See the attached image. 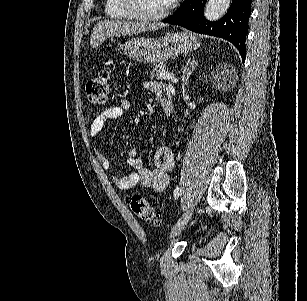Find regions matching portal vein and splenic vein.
Listing matches in <instances>:
<instances>
[{"label":"portal vein and splenic vein","instance_id":"portal-vein-and-splenic-vein-1","mask_svg":"<svg viewBox=\"0 0 307 301\" xmlns=\"http://www.w3.org/2000/svg\"><path fill=\"white\" fill-rule=\"evenodd\" d=\"M164 78H168V80H172V82H178L177 78H175L174 74H170V72H163Z\"/></svg>","mask_w":307,"mask_h":301}]
</instances>
